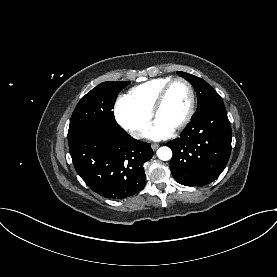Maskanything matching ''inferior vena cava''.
I'll return each mask as SVG.
<instances>
[{"mask_svg": "<svg viewBox=\"0 0 277 277\" xmlns=\"http://www.w3.org/2000/svg\"><path fill=\"white\" fill-rule=\"evenodd\" d=\"M139 134H140V132H138V131H135V132L132 133V135H133L134 137H139Z\"/></svg>", "mask_w": 277, "mask_h": 277, "instance_id": "inferior-vena-cava-1", "label": "inferior vena cava"}]
</instances>
